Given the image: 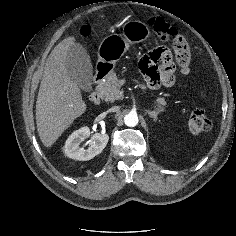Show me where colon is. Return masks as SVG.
Listing matches in <instances>:
<instances>
[{"mask_svg": "<svg viewBox=\"0 0 236 236\" xmlns=\"http://www.w3.org/2000/svg\"><path fill=\"white\" fill-rule=\"evenodd\" d=\"M149 27L156 35L164 41L170 40L177 55H186L189 46L186 39L170 23L159 17H152L149 20ZM83 34L88 35L89 29L84 28ZM189 130L192 133H201L211 128V121L204 111H194L188 121Z\"/></svg>", "mask_w": 236, "mask_h": 236, "instance_id": "obj_1", "label": "colon"}]
</instances>
